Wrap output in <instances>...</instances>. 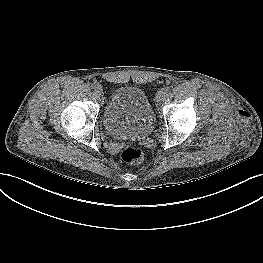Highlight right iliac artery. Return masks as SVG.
<instances>
[{
  "label": "right iliac artery",
  "mask_w": 263,
  "mask_h": 263,
  "mask_svg": "<svg viewBox=\"0 0 263 263\" xmlns=\"http://www.w3.org/2000/svg\"><path fill=\"white\" fill-rule=\"evenodd\" d=\"M101 87V84L100 83H95L94 85H93V88L94 89H97V88H100Z\"/></svg>",
  "instance_id": "82829eb1"
}]
</instances>
